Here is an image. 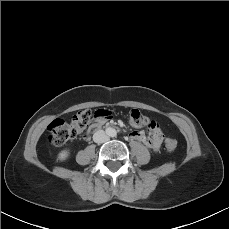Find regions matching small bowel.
Returning <instances> with one entry per match:
<instances>
[{
	"mask_svg": "<svg viewBox=\"0 0 229 229\" xmlns=\"http://www.w3.org/2000/svg\"><path fill=\"white\" fill-rule=\"evenodd\" d=\"M98 121L104 122V119L100 118L94 121V123ZM150 130L151 136H146L140 131H134L130 134V137L134 140L142 142L145 146L153 149L154 151H157L162 145L161 130L156 124L154 127L150 128Z\"/></svg>",
	"mask_w": 229,
	"mask_h": 229,
	"instance_id": "c3829d8e",
	"label": "small bowel"
}]
</instances>
